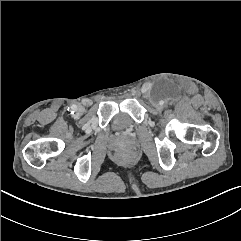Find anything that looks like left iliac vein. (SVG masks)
I'll list each match as a JSON object with an SVG mask.
<instances>
[{"mask_svg":"<svg viewBox=\"0 0 241 241\" xmlns=\"http://www.w3.org/2000/svg\"><path fill=\"white\" fill-rule=\"evenodd\" d=\"M155 106H156L157 108H160V105H159V104H156Z\"/></svg>","mask_w":241,"mask_h":241,"instance_id":"obj_1","label":"left iliac vein"}]
</instances>
